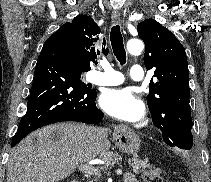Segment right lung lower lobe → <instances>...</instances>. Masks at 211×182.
<instances>
[{
	"label": "right lung lower lobe",
	"mask_w": 211,
	"mask_h": 182,
	"mask_svg": "<svg viewBox=\"0 0 211 182\" xmlns=\"http://www.w3.org/2000/svg\"><path fill=\"white\" fill-rule=\"evenodd\" d=\"M73 39L57 30L38 57L27 112L20 120L11 147L30 132L61 121L96 124L104 114L96 107V90L81 81Z\"/></svg>",
	"instance_id": "right-lung-lower-lobe-1"
}]
</instances>
